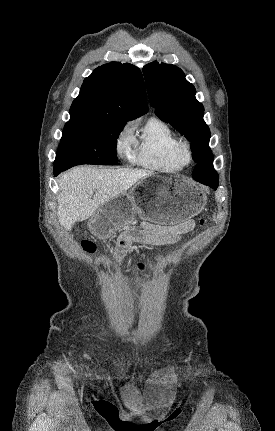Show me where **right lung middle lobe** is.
Returning a JSON list of instances; mask_svg holds the SVG:
<instances>
[{"mask_svg": "<svg viewBox=\"0 0 275 431\" xmlns=\"http://www.w3.org/2000/svg\"><path fill=\"white\" fill-rule=\"evenodd\" d=\"M126 121L116 117H71L63 129L54 168L117 163V137Z\"/></svg>", "mask_w": 275, "mask_h": 431, "instance_id": "1", "label": "right lung middle lobe"}]
</instances>
